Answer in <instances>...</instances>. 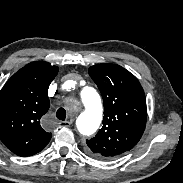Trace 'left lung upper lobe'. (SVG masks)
Wrapping results in <instances>:
<instances>
[{
	"label": "left lung upper lobe",
	"mask_w": 183,
	"mask_h": 183,
	"mask_svg": "<svg viewBox=\"0 0 183 183\" xmlns=\"http://www.w3.org/2000/svg\"><path fill=\"white\" fill-rule=\"evenodd\" d=\"M88 72L101 92L104 118L86 149L94 157L112 159L140 140L147 119L145 94L137 78L119 65L97 64Z\"/></svg>",
	"instance_id": "5c2ea615"
}]
</instances>
